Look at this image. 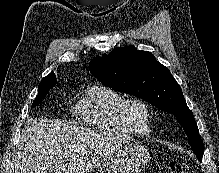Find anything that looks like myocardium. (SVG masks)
I'll return each instance as SVG.
<instances>
[{
	"label": "myocardium",
	"instance_id": "f54148a6",
	"mask_svg": "<svg viewBox=\"0 0 219 173\" xmlns=\"http://www.w3.org/2000/svg\"><path fill=\"white\" fill-rule=\"evenodd\" d=\"M138 105L142 107L147 114V123L144 129H140L138 125L132 120L130 116V109L132 106ZM153 110L149 103L138 97H130L124 99L119 107V118L122 124L132 131L135 135L145 136L148 135L152 130V121H153Z\"/></svg>",
	"mask_w": 219,
	"mask_h": 173
}]
</instances>
